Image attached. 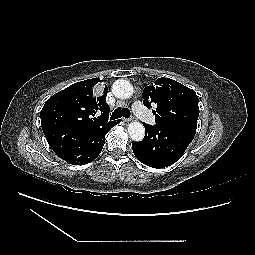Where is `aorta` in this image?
<instances>
[{
	"label": "aorta",
	"mask_w": 255,
	"mask_h": 255,
	"mask_svg": "<svg viewBox=\"0 0 255 255\" xmlns=\"http://www.w3.org/2000/svg\"><path fill=\"white\" fill-rule=\"evenodd\" d=\"M113 94L118 98H129L133 94V87L127 80H117L112 86ZM128 133L132 140L141 141L145 135V128L142 123L133 121L128 125Z\"/></svg>",
	"instance_id": "aorta-1"
}]
</instances>
